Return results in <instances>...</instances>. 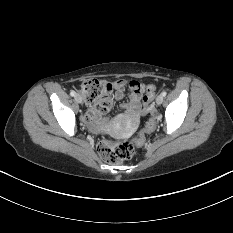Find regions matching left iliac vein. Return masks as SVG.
Masks as SVG:
<instances>
[{
    "instance_id": "1",
    "label": "left iliac vein",
    "mask_w": 233,
    "mask_h": 233,
    "mask_svg": "<svg viewBox=\"0 0 233 233\" xmlns=\"http://www.w3.org/2000/svg\"><path fill=\"white\" fill-rule=\"evenodd\" d=\"M162 102H163V96H162V95H158V96L156 97V104H157V105H161Z\"/></svg>"
}]
</instances>
